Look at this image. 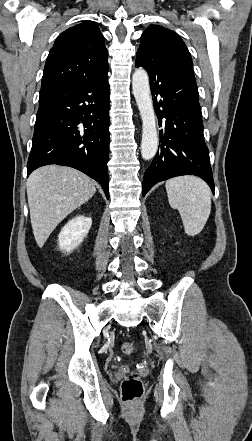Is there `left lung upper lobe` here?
<instances>
[{
	"label": "left lung upper lobe",
	"instance_id": "left-lung-upper-lobe-1",
	"mask_svg": "<svg viewBox=\"0 0 252 441\" xmlns=\"http://www.w3.org/2000/svg\"><path fill=\"white\" fill-rule=\"evenodd\" d=\"M160 59L182 62L193 71L191 55L182 39L167 28L151 25L141 36L136 62L154 65Z\"/></svg>",
	"mask_w": 252,
	"mask_h": 441
}]
</instances>
